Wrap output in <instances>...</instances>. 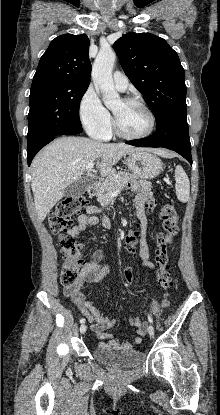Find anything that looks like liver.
Listing matches in <instances>:
<instances>
[{
    "instance_id": "liver-1",
    "label": "liver",
    "mask_w": 220,
    "mask_h": 415,
    "mask_svg": "<svg viewBox=\"0 0 220 415\" xmlns=\"http://www.w3.org/2000/svg\"><path fill=\"white\" fill-rule=\"evenodd\" d=\"M140 150L124 143H102L85 137L55 139L31 165V188L39 221L62 199L66 188L81 179L88 163L96 161L100 174L107 176L123 156ZM155 152L163 157L173 155L164 150Z\"/></svg>"
}]
</instances>
